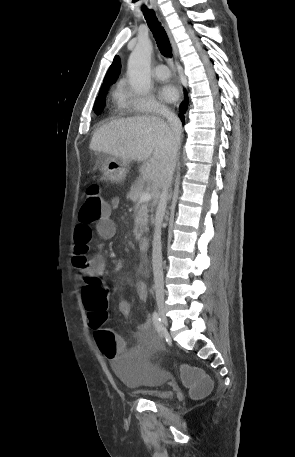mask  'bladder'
Returning a JSON list of instances; mask_svg holds the SVG:
<instances>
[{
    "instance_id": "bladder-1",
    "label": "bladder",
    "mask_w": 295,
    "mask_h": 457,
    "mask_svg": "<svg viewBox=\"0 0 295 457\" xmlns=\"http://www.w3.org/2000/svg\"><path fill=\"white\" fill-rule=\"evenodd\" d=\"M145 347H138L137 352L127 356L125 360L114 363V370L121 382L130 389H142L154 400H165L170 393L162 388L167 384L169 376L168 364H160L149 347L155 346L154 338H145ZM157 377V378H156Z\"/></svg>"
}]
</instances>
